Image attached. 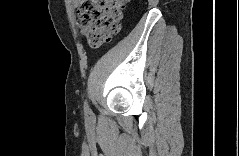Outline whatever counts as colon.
<instances>
[{
  "mask_svg": "<svg viewBox=\"0 0 239 156\" xmlns=\"http://www.w3.org/2000/svg\"><path fill=\"white\" fill-rule=\"evenodd\" d=\"M125 3L122 0H91L78 8V24L92 47H100L119 32Z\"/></svg>",
  "mask_w": 239,
  "mask_h": 156,
  "instance_id": "1",
  "label": "colon"
}]
</instances>
